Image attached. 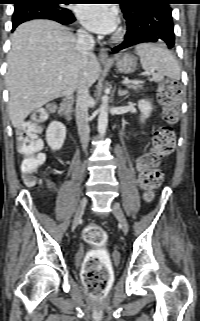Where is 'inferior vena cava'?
Returning <instances> with one entry per match:
<instances>
[{
    "label": "inferior vena cava",
    "mask_w": 200,
    "mask_h": 321,
    "mask_svg": "<svg viewBox=\"0 0 200 321\" xmlns=\"http://www.w3.org/2000/svg\"><path fill=\"white\" fill-rule=\"evenodd\" d=\"M93 36L85 30H79L77 32V50L80 54L85 57L94 48ZM91 103V96L89 94V85L85 80H82L77 89V100H76V124L78 127V134L83 150L86 151L89 143V117L88 109Z\"/></svg>",
    "instance_id": "obj_1"
}]
</instances>
